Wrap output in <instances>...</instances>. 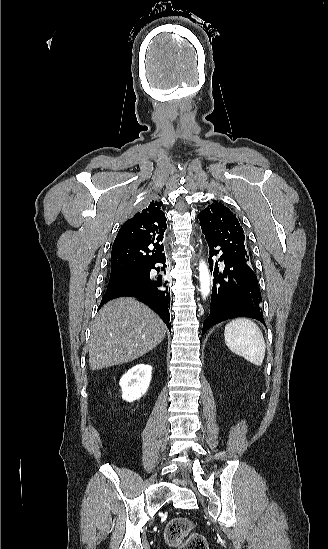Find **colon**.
<instances>
[{
	"mask_svg": "<svg viewBox=\"0 0 328 549\" xmlns=\"http://www.w3.org/2000/svg\"><path fill=\"white\" fill-rule=\"evenodd\" d=\"M168 545L177 549H207L205 537L193 531V523L186 517L172 519L164 533Z\"/></svg>",
	"mask_w": 328,
	"mask_h": 549,
	"instance_id": "5ec220e1",
	"label": "colon"
}]
</instances>
